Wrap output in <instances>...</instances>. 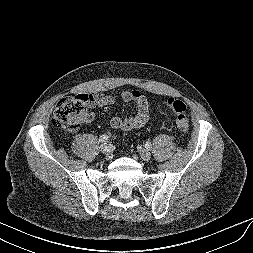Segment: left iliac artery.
Here are the masks:
<instances>
[{
	"mask_svg": "<svg viewBox=\"0 0 253 253\" xmlns=\"http://www.w3.org/2000/svg\"><path fill=\"white\" fill-rule=\"evenodd\" d=\"M145 147L150 150L152 148V145L150 142H146Z\"/></svg>",
	"mask_w": 253,
	"mask_h": 253,
	"instance_id": "obj_1",
	"label": "left iliac artery"
}]
</instances>
